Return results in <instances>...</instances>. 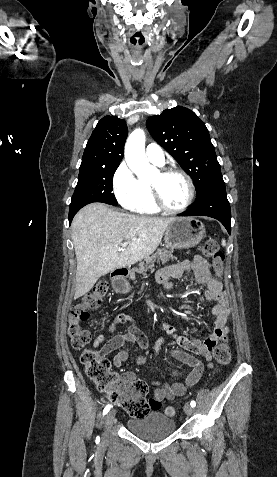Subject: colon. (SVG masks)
Listing matches in <instances>:
<instances>
[{"label": "colon", "mask_w": 277, "mask_h": 477, "mask_svg": "<svg viewBox=\"0 0 277 477\" xmlns=\"http://www.w3.org/2000/svg\"><path fill=\"white\" fill-rule=\"evenodd\" d=\"M200 249L203 256L212 262L216 274L220 276L224 256L220 252L216 241L208 239L201 245ZM107 290L106 282L97 283L92 291L71 309L68 335L75 349H83L81 362L85 373L98 390L105 393L109 400L123 408L130 416L141 418L147 415L150 410H158L161 407V402L146 399L148 392L146 383L141 380H134L118 385L117 375L112 371L109 360L98 351L86 349V346L92 340V336L88 330L80 326V323L88 320L90 311L102 304ZM214 358L220 365H227L230 362L231 348L227 338L214 349ZM165 414L173 417L176 415V409L173 406H168L165 409Z\"/></svg>", "instance_id": "5ec220e1"}]
</instances>
